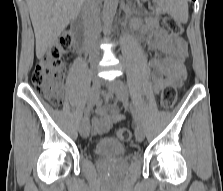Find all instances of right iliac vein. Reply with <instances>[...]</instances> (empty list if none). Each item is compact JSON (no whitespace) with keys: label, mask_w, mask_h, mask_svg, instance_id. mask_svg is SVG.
Returning a JSON list of instances; mask_svg holds the SVG:
<instances>
[{"label":"right iliac vein","mask_w":223,"mask_h":191,"mask_svg":"<svg viewBox=\"0 0 223 191\" xmlns=\"http://www.w3.org/2000/svg\"><path fill=\"white\" fill-rule=\"evenodd\" d=\"M101 85H102L101 81L97 79L93 80L92 87L88 95V105L93 106L97 101ZM89 131H90L89 118L87 115H85L80 125V134L82 137L86 138L89 135Z\"/></svg>","instance_id":"obj_1"}]
</instances>
